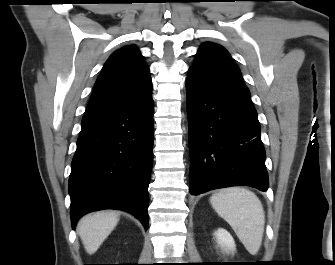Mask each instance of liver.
I'll return each mask as SVG.
<instances>
[{"instance_id":"liver-1","label":"liver","mask_w":335,"mask_h":265,"mask_svg":"<svg viewBox=\"0 0 335 265\" xmlns=\"http://www.w3.org/2000/svg\"><path fill=\"white\" fill-rule=\"evenodd\" d=\"M119 221V214L114 211H99L84 216L77 225L86 252L94 254L104 240L114 230Z\"/></svg>"}]
</instances>
